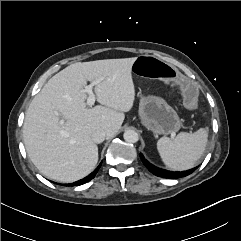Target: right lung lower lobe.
<instances>
[{
    "label": "right lung lower lobe",
    "mask_w": 241,
    "mask_h": 241,
    "mask_svg": "<svg viewBox=\"0 0 241 241\" xmlns=\"http://www.w3.org/2000/svg\"><path fill=\"white\" fill-rule=\"evenodd\" d=\"M100 166H101V165H99V166L97 167V169H96L94 172H92L89 176H87L86 178H84V179H82V180H79V181H77L76 183H73L72 186H73V185H76V186L82 185V184H84V183L89 182L90 180H92V179L95 177V175L97 174L98 169L100 168Z\"/></svg>",
    "instance_id": "98d812e1"
}]
</instances>
